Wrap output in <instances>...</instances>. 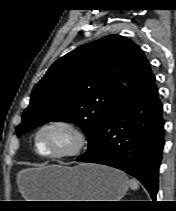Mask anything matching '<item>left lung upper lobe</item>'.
<instances>
[{
	"label": "left lung upper lobe",
	"mask_w": 176,
	"mask_h": 211,
	"mask_svg": "<svg viewBox=\"0 0 176 211\" xmlns=\"http://www.w3.org/2000/svg\"><path fill=\"white\" fill-rule=\"evenodd\" d=\"M155 83L143 51L126 37L109 35L58 59L36 84L16 128L20 137L49 121L78 125L90 149L111 114Z\"/></svg>",
	"instance_id": "5c2ea615"
}]
</instances>
